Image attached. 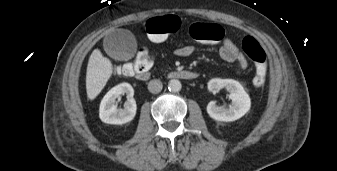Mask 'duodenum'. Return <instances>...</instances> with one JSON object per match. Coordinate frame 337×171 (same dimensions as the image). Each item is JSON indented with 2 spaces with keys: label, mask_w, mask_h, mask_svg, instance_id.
Segmentation results:
<instances>
[{
  "label": "duodenum",
  "mask_w": 337,
  "mask_h": 171,
  "mask_svg": "<svg viewBox=\"0 0 337 171\" xmlns=\"http://www.w3.org/2000/svg\"><path fill=\"white\" fill-rule=\"evenodd\" d=\"M138 80L149 79V71L147 69H136L133 73ZM199 74L194 71L188 70H173L168 73V77L171 79H182V80H194L198 78Z\"/></svg>",
  "instance_id": "duodenum-1"
}]
</instances>
